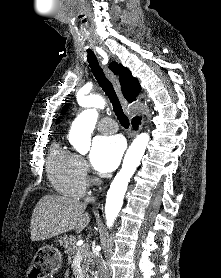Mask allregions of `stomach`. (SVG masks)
<instances>
[{
    "instance_id": "0dacf381",
    "label": "stomach",
    "mask_w": 221,
    "mask_h": 278,
    "mask_svg": "<svg viewBox=\"0 0 221 278\" xmlns=\"http://www.w3.org/2000/svg\"><path fill=\"white\" fill-rule=\"evenodd\" d=\"M37 255V259L32 261V264H27L30 278H48L50 275L56 273L62 264L61 252L52 247H42Z\"/></svg>"
}]
</instances>
